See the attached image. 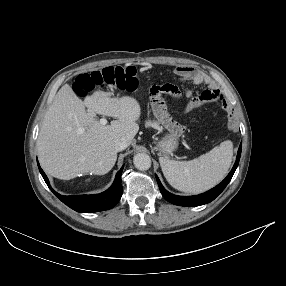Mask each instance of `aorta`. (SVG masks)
I'll return each mask as SVG.
<instances>
[{"label":"aorta","instance_id":"aorta-1","mask_svg":"<svg viewBox=\"0 0 286 286\" xmlns=\"http://www.w3.org/2000/svg\"><path fill=\"white\" fill-rule=\"evenodd\" d=\"M133 163L138 170L145 171L151 167V158L146 153H138L134 156Z\"/></svg>","mask_w":286,"mask_h":286}]
</instances>
